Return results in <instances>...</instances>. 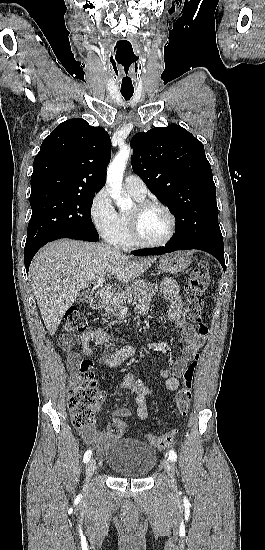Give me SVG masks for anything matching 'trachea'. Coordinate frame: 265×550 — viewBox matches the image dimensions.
<instances>
[{
  "mask_svg": "<svg viewBox=\"0 0 265 550\" xmlns=\"http://www.w3.org/2000/svg\"><path fill=\"white\" fill-rule=\"evenodd\" d=\"M122 96L125 98V100H129L133 96V92L128 91H121Z\"/></svg>",
  "mask_w": 265,
  "mask_h": 550,
  "instance_id": "3493384b",
  "label": "trachea"
}]
</instances>
